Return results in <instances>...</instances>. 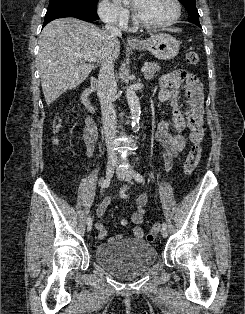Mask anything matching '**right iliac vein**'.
<instances>
[{"label":"right iliac vein","instance_id":"obj_1","mask_svg":"<svg viewBox=\"0 0 245 314\" xmlns=\"http://www.w3.org/2000/svg\"><path fill=\"white\" fill-rule=\"evenodd\" d=\"M114 170H115V164L114 163H110L107 165V168H106V178L107 179H110L113 174H114ZM92 229V222H90L88 225H87V231H91Z\"/></svg>","mask_w":245,"mask_h":314}]
</instances>
